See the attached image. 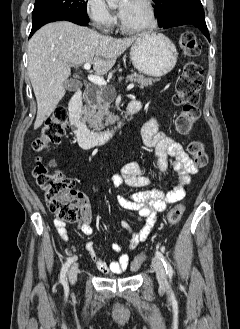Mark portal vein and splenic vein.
Returning a JSON list of instances; mask_svg holds the SVG:
<instances>
[{"label": "portal vein and splenic vein", "instance_id": "obj_1", "mask_svg": "<svg viewBox=\"0 0 240 329\" xmlns=\"http://www.w3.org/2000/svg\"><path fill=\"white\" fill-rule=\"evenodd\" d=\"M91 67L90 63H85L83 65V68L86 69V70H89ZM88 80L90 82H92L93 84L95 85H98V86H106L107 85V82L100 76H97V75H88ZM134 87V84H129L127 86V90H130Z\"/></svg>", "mask_w": 240, "mask_h": 329}]
</instances>
